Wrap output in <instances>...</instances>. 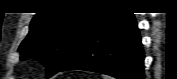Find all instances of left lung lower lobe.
Masks as SVG:
<instances>
[{
    "mask_svg": "<svg viewBox=\"0 0 177 79\" xmlns=\"http://www.w3.org/2000/svg\"><path fill=\"white\" fill-rule=\"evenodd\" d=\"M144 52L132 14L108 12L58 72L87 70L118 79H143Z\"/></svg>",
    "mask_w": 177,
    "mask_h": 79,
    "instance_id": "0a47b994",
    "label": "left lung lower lobe"
}]
</instances>
